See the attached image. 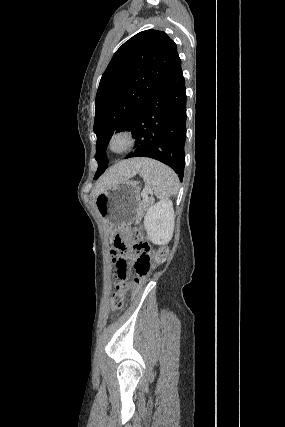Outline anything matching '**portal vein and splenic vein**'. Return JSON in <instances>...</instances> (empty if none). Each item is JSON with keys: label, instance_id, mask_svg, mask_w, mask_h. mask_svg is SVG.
<instances>
[{"label": "portal vein and splenic vein", "instance_id": "1", "mask_svg": "<svg viewBox=\"0 0 285 427\" xmlns=\"http://www.w3.org/2000/svg\"><path fill=\"white\" fill-rule=\"evenodd\" d=\"M149 193H151V191L144 190V191L142 192V197H143V198H147V196H148V194H149Z\"/></svg>", "mask_w": 285, "mask_h": 427}]
</instances>
